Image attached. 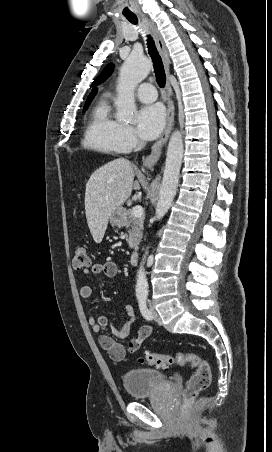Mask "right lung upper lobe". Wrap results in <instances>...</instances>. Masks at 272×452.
Returning a JSON list of instances; mask_svg holds the SVG:
<instances>
[{
	"mask_svg": "<svg viewBox=\"0 0 272 452\" xmlns=\"http://www.w3.org/2000/svg\"><path fill=\"white\" fill-rule=\"evenodd\" d=\"M97 93V88H94L91 92V94L88 96L86 103L85 104H90V102L92 101L93 96Z\"/></svg>",
	"mask_w": 272,
	"mask_h": 452,
	"instance_id": "right-lung-upper-lobe-1",
	"label": "right lung upper lobe"
}]
</instances>
